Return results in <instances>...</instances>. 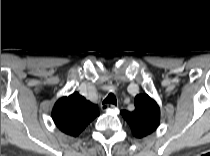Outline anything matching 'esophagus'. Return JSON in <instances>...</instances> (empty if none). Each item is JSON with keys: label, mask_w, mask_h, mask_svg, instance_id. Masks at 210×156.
Instances as JSON below:
<instances>
[{"label": "esophagus", "mask_w": 210, "mask_h": 156, "mask_svg": "<svg viewBox=\"0 0 210 156\" xmlns=\"http://www.w3.org/2000/svg\"><path fill=\"white\" fill-rule=\"evenodd\" d=\"M110 108H115V105H113V104H101V109H102L103 111H107V110H109Z\"/></svg>", "instance_id": "obj_1"}]
</instances>
